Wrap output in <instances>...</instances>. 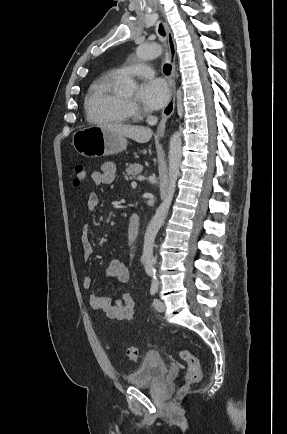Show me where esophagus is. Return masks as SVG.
I'll return each instance as SVG.
<instances>
[{
	"label": "esophagus",
	"instance_id": "esophagus-1",
	"mask_svg": "<svg viewBox=\"0 0 287 434\" xmlns=\"http://www.w3.org/2000/svg\"><path fill=\"white\" fill-rule=\"evenodd\" d=\"M165 31L168 39V47H169V60L172 66L171 75L169 79L170 85V98L162 111L161 121L157 128V136L162 137L165 131V124L170 116L174 113L175 110V100H176V87H175V73H176V44L172 34L170 27L167 23H164Z\"/></svg>",
	"mask_w": 287,
	"mask_h": 434
}]
</instances>
